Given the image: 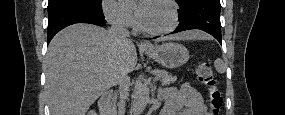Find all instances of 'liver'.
Returning a JSON list of instances; mask_svg holds the SVG:
<instances>
[{
  "mask_svg": "<svg viewBox=\"0 0 285 115\" xmlns=\"http://www.w3.org/2000/svg\"><path fill=\"white\" fill-rule=\"evenodd\" d=\"M207 37L192 30L176 34L173 39ZM136 64L132 41L118 42L109 31L91 24L66 27L52 39L45 57V89L52 115H85L115 83V71L124 68L130 73Z\"/></svg>",
  "mask_w": 285,
  "mask_h": 115,
  "instance_id": "6515ba94",
  "label": "liver"
}]
</instances>
